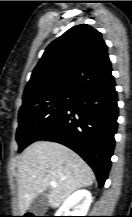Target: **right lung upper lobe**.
Wrapping results in <instances>:
<instances>
[{"mask_svg": "<svg viewBox=\"0 0 132 217\" xmlns=\"http://www.w3.org/2000/svg\"><path fill=\"white\" fill-rule=\"evenodd\" d=\"M107 45L89 25L72 27L46 48L23 98L58 92L77 94L113 78Z\"/></svg>", "mask_w": 132, "mask_h": 217, "instance_id": "cb5924a9", "label": "right lung upper lobe"}]
</instances>
